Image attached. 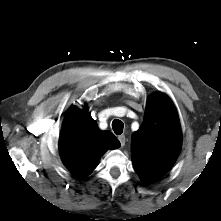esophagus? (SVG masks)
<instances>
[{
	"mask_svg": "<svg viewBox=\"0 0 221 221\" xmlns=\"http://www.w3.org/2000/svg\"><path fill=\"white\" fill-rule=\"evenodd\" d=\"M119 141H120V144H121V147H123L125 145V142H126V138H125V135H120L118 137Z\"/></svg>",
	"mask_w": 221,
	"mask_h": 221,
	"instance_id": "obj_1",
	"label": "esophagus"
}]
</instances>
